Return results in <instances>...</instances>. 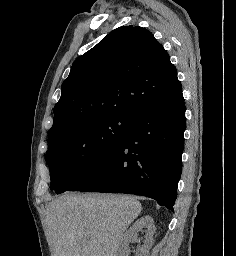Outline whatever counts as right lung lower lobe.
Instances as JSON below:
<instances>
[{
    "instance_id": "1",
    "label": "right lung lower lobe",
    "mask_w": 236,
    "mask_h": 256,
    "mask_svg": "<svg viewBox=\"0 0 236 256\" xmlns=\"http://www.w3.org/2000/svg\"><path fill=\"white\" fill-rule=\"evenodd\" d=\"M185 122L180 87L143 110L121 143L67 191L142 195L174 211Z\"/></svg>"
}]
</instances>
